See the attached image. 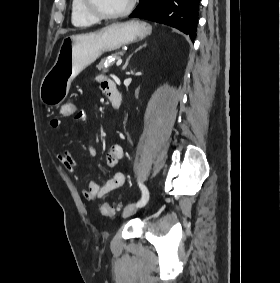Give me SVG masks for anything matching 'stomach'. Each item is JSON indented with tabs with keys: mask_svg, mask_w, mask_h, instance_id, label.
Returning a JSON list of instances; mask_svg holds the SVG:
<instances>
[{
	"mask_svg": "<svg viewBox=\"0 0 280 283\" xmlns=\"http://www.w3.org/2000/svg\"><path fill=\"white\" fill-rule=\"evenodd\" d=\"M152 27L139 20L112 23L93 32L66 36L60 45L53 67L40 85V100L47 106L60 105L67 96L71 82L104 53L147 37Z\"/></svg>",
	"mask_w": 280,
	"mask_h": 283,
	"instance_id": "obj_1",
	"label": "stomach"
}]
</instances>
